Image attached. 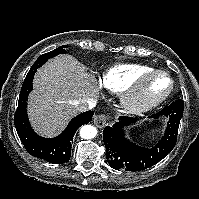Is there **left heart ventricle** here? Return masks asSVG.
<instances>
[{
  "label": "left heart ventricle",
  "instance_id": "b2bd125f",
  "mask_svg": "<svg viewBox=\"0 0 199 199\" xmlns=\"http://www.w3.org/2000/svg\"><path fill=\"white\" fill-rule=\"evenodd\" d=\"M169 80L164 76L153 78L147 86V94L150 97H158L165 93L169 88Z\"/></svg>",
  "mask_w": 199,
  "mask_h": 199
}]
</instances>
